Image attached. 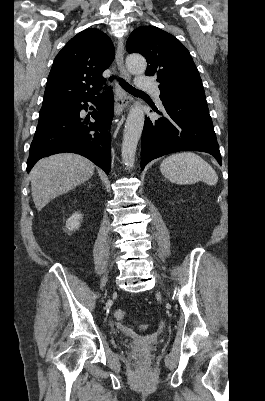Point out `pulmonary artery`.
<instances>
[{
    "mask_svg": "<svg viewBox=\"0 0 265 401\" xmlns=\"http://www.w3.org/2000/svg\"><path fill=\"white\" fill-rule=\"evenodd\" d=\"M138 87L140 90H154L155 99L160 102V90L156 88L155 81H151L150 75H139L138 77ZM156 88V89H155Z\"/></svg>",
    "mask_w": 265,
    "mask_h": 401,
    "instance_id": "obj_1",
    "label": "pulmonary artery"
}]
</instances>
